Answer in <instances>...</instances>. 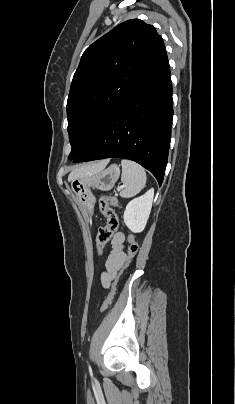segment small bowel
<instances>
[{
  "label": "small bowel",
  "mask_w": 235,
  "mask_h": 404,
  "mask_svg": "<svg viewBox=\"0 0 235 404\" xmlns=\"http://www.w3.org/2000/svg\"><path fill=\"white\" fill-rule=\"evenodd\" d=\"M126 258L125 234L117 232L112 237L111 251L105 262V270L101 275V284L104 288L110 287L111 282L125 263Z\"/></svg>",
  "instance_id": "1"
}]
</instances>
